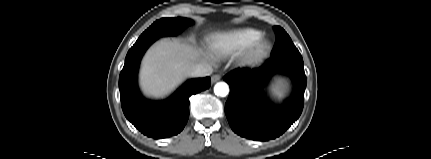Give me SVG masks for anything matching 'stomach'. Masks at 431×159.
Returning a JSON list of instances; mask_svg holds the SVG:
<instances>
[{
    "label": "stomach",
    "instance_id": "stomach-1",
    "mask_svg": "<svg viewBox=\"0 0 431 159\" xmlns=\"http://www.w3.org/2000/svg\"><path fill=\"white\" fill-rule=\"evenodd\" d=\"M276 88H277V90L279 92H284L285 88H286V85H285V83L283 81H278L277 84H276Z\"/></svg>",
    "mask_w": 431,
    "mask_h": 159
}]
</instances>
